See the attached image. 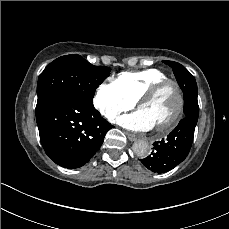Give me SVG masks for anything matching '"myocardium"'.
Wrapping results in <instances>:
<instances>
[{"instance_id":"f54148a6","label":"myocardium","mask_w":229,"mask_h":229,"mask_svg":"<svg viewBox=\"0 0 229 229\" xmlns=\"http://www.w3.org/2000/svg\"><path fill=\"white\" fill-rule=\"evenodd\" d=\"M168 84H174L177 86V88H174L171 91L174 106L167 120L168 126L163 128H155L156 132L161 135H165L173 131L180 124L187 112L188 100L181 83L176 79H165L150 88L138 102V109H140L141 106L153 101L154 98L161 92V90Z\"/></svg>"}]
</instances>
